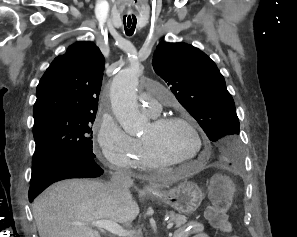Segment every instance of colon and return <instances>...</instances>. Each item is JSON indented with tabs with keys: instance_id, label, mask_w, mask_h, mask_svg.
<instances>
[{
	"instance_id": "1",
	"label": "colon",
	"mask_w": 297,
	"mask_h": 237,
	"mask_svg": "<svg viewBox=\"0 0 297 237\" xmlns=\"http://www.w3.org/2000/svg\"><path fill=\"white\" fill-rule=\"evenodd\" d=\"M234 185L224 174L217 175L210 183L212 204L206 210V217L210 225L223 233H230L232 225L228 221L227 211L232 205ZM231 237H240L233 235Z\"/></svg>"
}]
</instances>
